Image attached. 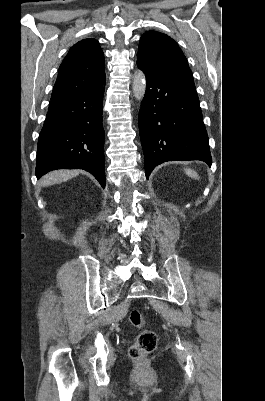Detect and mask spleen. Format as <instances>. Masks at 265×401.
<instances>
[{"label": "spleen", "mask_w": 265, "mask_h": 401, "mask_svg": "<svg viewBox=\"0 0 265 401\" xmlns=\"http://www.w3.org/2000/svg\"><path fill=\"white\" fill-rule=\"evenodd\" d=\"M184 170L191 178H199V174H197L196 170H193V168H184Z\"/></svg>", "instance_id": "1"}]
</instances>
